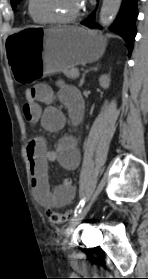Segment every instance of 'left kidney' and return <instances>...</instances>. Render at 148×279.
Wrapping results in <instances>:
<instances>
[{
	"mask_svg": "<svg viewBox=\"0 0 148 279\" xmlns=\"http://www.w3.org/2000/svg\"><path fill=\"white\" fill-rule=\"evenodd\" d=\"M99 84L102 88L104 89H108L110 86V78L108 75H102L99 78ZM105 104L107 105V101L105 102Z\"/></svg>",
	"mask_w": 148,
	"mask_h": 279,
	"instance_id": "5707ae66",
	"label": "left kidney"
}]
</instances>
